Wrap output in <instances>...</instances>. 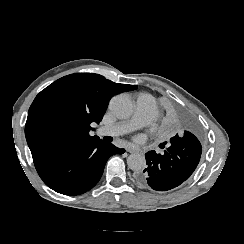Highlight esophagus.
Returning a JSON list of instances; mask_svg holds the SVG:
<instances>
[{
    "instance_id": "34e87169",
    "label": "esophagus",
    "mask_w": 244,
    "mask_h": 244,
    "mask_svg": "<svg viewBox=\"0 0 244 244\" xmlns=\"http://www.w3.org/2000/svg\"><path fill=\"white\" fill-rule=\"evenodd\" d=\"M125 149L129 153H135L136 152V150L131 145L126 146Z\"/></svg>"
}]
</instances>
